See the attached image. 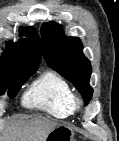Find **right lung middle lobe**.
Masks as SVG:
<instances>
[{"label":"right lung middle lobe","mask_w":119,"mask_h":141,"mask_svg":"<svg viewBox=\"0 0 119 141\" xmlns=\"http://www.w3.org/2000/svg\"><path fill=\"white\" fill-rule=\"evenodd\" d=\"M24 74H0V95L8 90V95L13 98L18 93L21 86L34 73Z\"/></svg>","instance_id":"dd1d6c3e"}]
</instances>
